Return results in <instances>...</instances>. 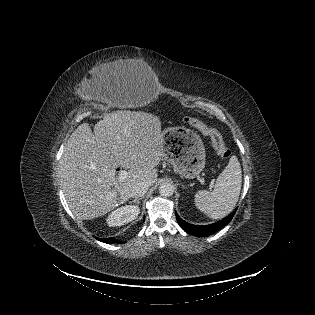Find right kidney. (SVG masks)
I'll list each match as a JSON object with an SVG mask.
<instances>
[{
	"mask_svg": "<svg viewBox=\"0 0 315 315\" xmlns=\"http://www.w3.org/2000/svg\"><path fill=\"white\" fill-rule=\"evenodd\" d=\"M140 212L138 206L126 205L117 208L108 215L107 224L110 227L122 226L135 220Z\"/></svg>",
	"mask_w": 315,
	"mask_h": 315,
	"instance_id": "obj_1",
	"label": "right kidney"
}]
</instances>
